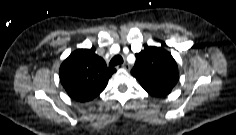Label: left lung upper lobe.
<instances>
[{"label": "left lung upper lobe", "mask_w": 236, "mask_h": 135, "mask_svg": "<svg viewBox=\"0 0 236 135\" xmlns=\"http://www.w3.org/2000/svg\"><path fill=\"white\" fill-rule=\"evenodd\" d=\"M131 74L153 96L171 92L179 79L177 63L172 55L160 47L146 46L136 55Z\"/></svg>", "instance_id": "left-lung-upper-lobe-1"}]
</instances>
